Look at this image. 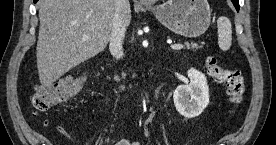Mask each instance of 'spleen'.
<instances>
[{
	"mask_svg": "<svg viewBox=\"0 0 276 145\" xmlns=\"http://www.w3.org/2000/svg\"><path fill=\"white\" fill-rule=\"evenodd\" d=\"M218 28V45L221 50L226 51L232 43V27L227 17H220L217 20Z\"/></svg>",
	"mask_w": 276,
	"mask_h": 145,
	"instance_id": "spleen-1",
	"label": "spleen"
}]
</instances>
